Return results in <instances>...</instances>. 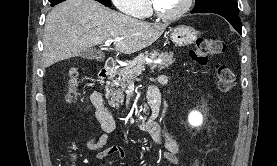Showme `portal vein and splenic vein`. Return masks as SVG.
Segmentation results:
<instances>
[{
    "mask_svg": "<svg viewBox=\"0 0 277 166\" xmlns=\"http://www.w3.org/2000/svg\"><path fill=\"white\" fill-rule=\"evenodd\" d=\"M120 39H108L106 42H105V46H110L113 42H116V41H119Z\"/></svg>",
    "mask_w": 277,
    "mask_h": 166,
    "instance_id": "portal-vein-and-splenic-vein-1",
    "label": "portal vein and splenic vein"
}]
</instances>
